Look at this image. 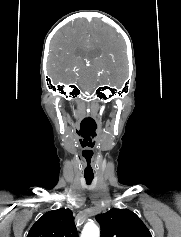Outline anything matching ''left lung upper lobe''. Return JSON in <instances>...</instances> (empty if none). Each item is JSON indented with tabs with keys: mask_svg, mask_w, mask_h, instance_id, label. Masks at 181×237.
Masks as SVG:
<instances>
[{
	"mask_svg": "<svg viewBox=\"0 0 181 237\" xmlns=\"http://www.w3.org/2000/svg\"><path fill=\"white\" fill-rule=\"evenodd\" d=\"M96 220L101 226V237H151L142 220L128 209L113 208L98 214Z\"/></svg>",
	"mask_w": 181,
	"mask_h": 237,
	"instance_id": "5c2ea615",
	"label": "left lung upper lobe"
}]
</instances>
